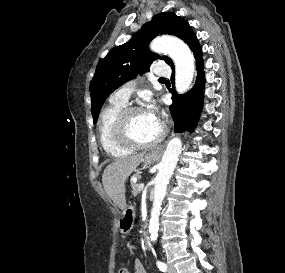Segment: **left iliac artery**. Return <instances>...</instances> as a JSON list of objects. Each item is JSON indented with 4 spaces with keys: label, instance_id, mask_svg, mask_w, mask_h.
Wrapping results in <instances>:
<instances>
[{
    "label": "left iliac artery",
    "instance_id": "44dca946",
    "mask_svg": "<svg viewBox=\"0 0 285 273\" xmlns=\"http://www.w3.org/2000/svg\"><path fill=\"white\" fill-rule=\"evenodd\" d=\"M157 266L160 269V271L166 272L167 264H165L164 262H161V261H157Z\"/></svg>",
    "mask_w": 285,
    "mask_h": 273
}]
</instances>
